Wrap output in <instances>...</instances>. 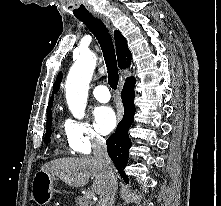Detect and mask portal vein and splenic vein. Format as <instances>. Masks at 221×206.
I'll return each instance as SVG.
<instances>
[{"instance_id":"18ae733b","label":"portal vein and splenic vein","mask_w":221,"mask_h":206,"mask_svg":"<svg viewBox=\"0 0 221 206\" xmlns=\"http://www.w3.org/2000/svg\"><path fill=\"white\" fill-rule=\"evenodd\" d=\"M94 197H95V195H94L93 192H88V193H86V198L92 199V198H94Z\"/></svg>"}]
</instances>
